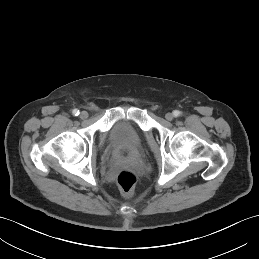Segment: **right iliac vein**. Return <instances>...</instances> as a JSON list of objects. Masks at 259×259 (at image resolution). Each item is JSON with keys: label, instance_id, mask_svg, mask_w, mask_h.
I'll return each instance as SVG.
<instances>
[{"label": "right iliac vein", "instance_id": "right-iliac-vein-1", "mask_svg": "<svg viewBox=\"0 0 259 259\" xmlns=\"http://www.w3.org/2000/svg\"><path fill=\"white\" fill-rule=\"evenodd\" d=\"M80 118H81V119H86V118H88V113H87L86 111H82V112L80 113Z\"/></svg>", "mask_w": 259, "mask_h": 259}]
</instances>
